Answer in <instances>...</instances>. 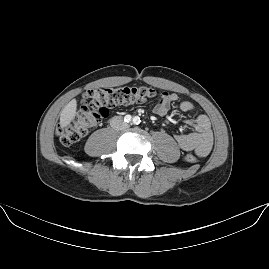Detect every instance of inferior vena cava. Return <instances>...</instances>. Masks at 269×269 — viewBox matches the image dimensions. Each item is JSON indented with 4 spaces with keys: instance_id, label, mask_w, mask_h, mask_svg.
I'll use <instances>...</instances> for the list:
<instances>
[{
    "instance_id": "602c4592",
    "label": "inferior vena cava",
    "mask_w": 269,
    "mask_h": 269,
    "mask_svg": "<svg viewBox=\"0 0 269 269\" xmlns=\"http://www.w3.org/2000/svg\"><path fill=\"white\" fill-rule=\"evenodd\" d=\"M110 125L114 130H126L129 128V125L123 121L121 116H114L110 119Z\"/></svg>"
}]
</instances>
